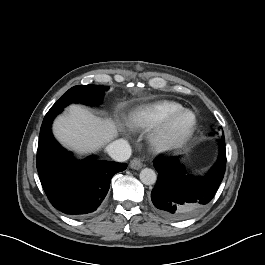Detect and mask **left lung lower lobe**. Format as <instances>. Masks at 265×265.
Instances as JSON below:
<instances>
[{
  "label": "left lung lower lobe",
  "instance_id": "0a47b994",
  "mask_svg": "<svg viewBox=\"0 0 265 265\" xmlns=\"http://www.w3.org/2000/svg\"><path fill=\"white\" fill-rule=\"evenodd\" d=\"M219 157L203 177L187 175L178 157L157 160L158 180L151 192L157 211L170 220H184L200 213L212 200L226 168L225 139L221 138Z\"/></svg>",
  "mask_w": 265,
  "mask_h": 265
}]
</instances>
